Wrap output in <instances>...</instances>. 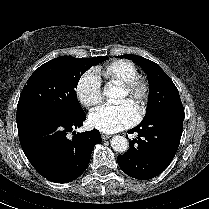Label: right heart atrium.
<instances>
[{"label": "right heart atrium", "instance_id": "d8ad5b80", "mask_svg": "<svg viewBox=\"0 0 209 209\" xmlns=\"http://www.w3.org/2000/svg\"><path fill=\"white\" fill-rule=\"evenodd\" d=\"M75 91L80 103L87 108H93L102 101V83L100 77L92 70L80 77Z\"/></svg>", "mask_w": 209, "mask_h": 209}]
</instances>
